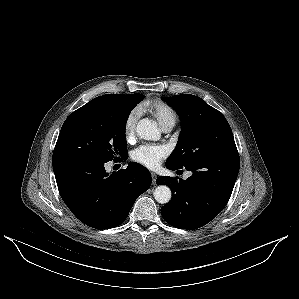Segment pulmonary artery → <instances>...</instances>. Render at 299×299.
<instances>
[{"instance_id":"e3ab8cb5","label":"pulmonary artery","mask_w":299,"mask_h":299,"mask_svg":"<svg viewBox=\"0 0 299 299\" xmlns=\"http://www.w3.org/2000/svg\"><path fill=\"white\" fill-rule=\"evenodd\" d=\"M173 126H174V125H172V124H170V125H166V126L162 127V130H163L164 132H169V131L172 130ZM186 176H188V174H187Z\"/></svg>"}]
</instances>
